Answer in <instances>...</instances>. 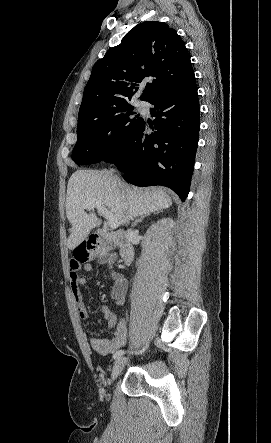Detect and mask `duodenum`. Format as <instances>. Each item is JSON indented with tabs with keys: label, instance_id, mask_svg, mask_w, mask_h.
<instances>
[{
	"label": "duodenum",
	"instance_id": "410a0bca",
	"mask_svg": "<svg viewBox=\"0 0 271 443\" xmlns=\"http://www.w3.org/2000/svg\"><path fill=\"white\" fill-rule=\"evenodd\" d=\"M98 236L116 243L120 247L121 256L125 262L131 260L133 256V247L126 235L122 233L100 230L98 232Z\"/></svg>",
	"mask_w": 271,
	"mask_h": 443
}]
</instances>
